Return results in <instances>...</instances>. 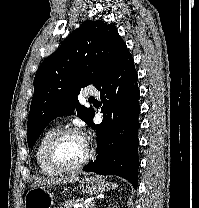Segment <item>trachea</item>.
Listing matches in <instances>:
<instances>
[{
  "mask_svg": "<svg viewBox=\"0 0 199 208\" xmlns=\"http://www.w3.org/2000/svg\"><path fill=\"white\" fill-rule=\"evenodd\" d=\"M89 101L91 102V101H95V99L94 98H89Z\"/></svg>",
  "mask_w": 199,
  "mask_h": 208,
  "instance_id": "trachea-1",
  "label": "trachea"
}]
</instances>
